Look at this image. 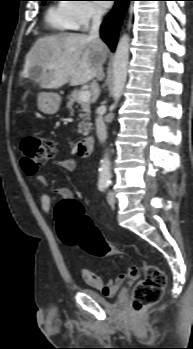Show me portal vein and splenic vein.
<instances>
[{
	"label": "portal vein and splenic vein",
	"instance_id": "obj_1",
	"mask_svg": "<svg viewBox=\"0 0 193 349\" xmlns=\"http://www.w3.org/2000/svg\"><path fill=\"white\" fill-rule=\"evenodd\" d=\"M90 97H91V93L89 90H84L80 92V95H79L80 100L86 102L90 99Z\"/></svg>",
	"mask_w": 193,
	"mask_h": 349
}]
</instances>
